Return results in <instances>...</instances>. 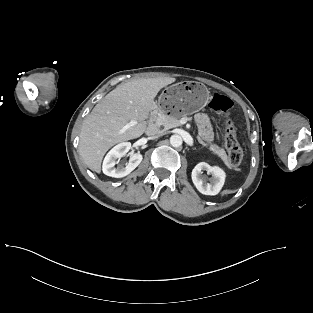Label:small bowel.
Returning a JSON list of instances; mask_svg holds the SVG:
<instances>
[{
	"instance_id": "small-bowel-1",
	"label": "small bowel",
	"mask_w": 313,
	"mask_h": 313,
	"mask_svg": "<svg viewBox=\"0 0 313 313\" xmlns=\"http://www.w3.org/2000/svg\"><path fill=\"white\" fill-rule=\"evenodd\" d=\"M196 123L199 127L201 135L205 139H211L212 138V128L209 122V119L206 114L199 113L195 116Z\"/></svg>"
}]
</instances>
